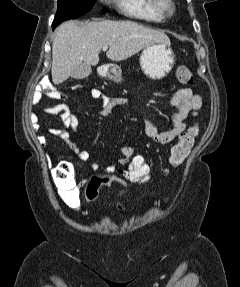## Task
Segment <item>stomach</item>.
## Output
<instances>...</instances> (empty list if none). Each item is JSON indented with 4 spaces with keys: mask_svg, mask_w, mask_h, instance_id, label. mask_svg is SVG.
<instances>
[{
    "mask_svg": "<svg viewBox=\"0 0 240 287\" xmlns=\"http://www.w3.org/2000/svg\"><path fill=\"white\" fill-rule=\"evenodd\" d=\"M140 66L144 74L152 80L166 77L175 63V55L170 44L153 43L146 46L140 56ZM109 79L122 81V71L117 65H111L107 71Z\"/></svg>",
    "mask_w": 240,
    "mask_h": 287,
    "instance_id": "obj_1",
    "label": "stomach"
}]
</instances>
